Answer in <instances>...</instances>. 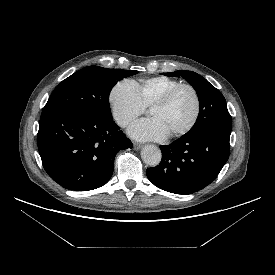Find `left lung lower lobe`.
I'll list each match as a JSON object with an SVG mask.
<instances>
[{
    "label": "left lung lower lobe",
    "instance_id": "left-lung-lower-lobe-1",
    "mask_svg": "<svg viewBox=\"0 0 275 275\" xmlns=\"http://www.w3.org/2000/svg\"><path fill=\"white\" fill-rule=\"evenodd\" d=\"M229 131L184 134L161 146L158 166L148 168V179L158 188L175 194H192L209 185L219 174L230 153Z\"/></svg>",
    "mask_w": 275,
    "mask_h": 275
}]
</instances>
